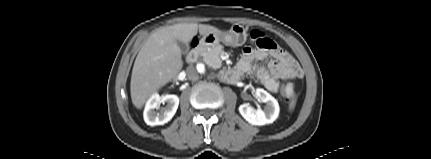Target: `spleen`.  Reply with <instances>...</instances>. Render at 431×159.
I'll return each instance as SVG.
<instances>
[{
    "mask_svg": "<svg viewBox=\"0 0 431 159\" xmlns=\"http://www.w3.org/2000/svg\"><path fill=\"white\" fill-rule=\"evenodd\" d=\"M292 94V87H288L287 89V95L290 96Z\"/></svg>",
    "mask_w": 431,
    "mask_h": 159,
    "instance_id": "obj_1",
    "label": "spleen"
}]
</instances>
